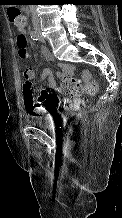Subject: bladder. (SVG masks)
Returning <instances> with one entry per match:
<instances>
[{
	"label": "bladder",
	"mask_w": 122,
	"mask_h": 218,
	"mask_svg": "<svg viewBox=\"0 0 122 218\" xmlns=\"http://www.w3.org/2000/svg\"><path fill=\"white\" fill-rule=\"evenodd\" d=\"M27 122L37 126H43L46 115L40 113L29 114L27 116Z\"/></svg>",
	"instance_id": "31cf9c89"
}]
</instances>
